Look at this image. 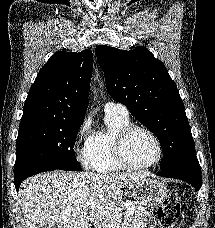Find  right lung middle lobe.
<instances>
[{"label": "right lung middle lobe", "mask_w": 215, "mask_h": 228, "mask_svg": "<svg viewBox=\"0 0 215 228\" xmlns=\"http://www.w3.org/2000/svg\"><path fill=\"white\" fill-rule=\"evenodd\" d=\"M82 122L19 128L14 174L37 168L81 171L73 147Z\"/></svg>", "instance_id": "1"}]
</instances>
